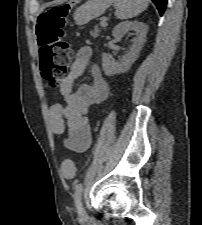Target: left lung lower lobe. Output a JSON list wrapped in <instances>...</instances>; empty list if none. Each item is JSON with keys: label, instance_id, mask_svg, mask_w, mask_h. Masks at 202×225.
I'll use <instances>...</instances> for the list:
<instances>
[{"label": "left lung lower lobe", "instance_id": "0a47b994", "mask_svg": "<svg viewBox=\"0 0 202 225\" xmlns=\"http://www.w3.org/2000/svg\"><path fill=\"white\" fill-rule=\"evenodd\" d=\"M152 2L156 5L160 15L162 16L166 9L167 0H152Z\"/></svg>", "mask_w": 202, "mask_h": 225}]
</instances>
